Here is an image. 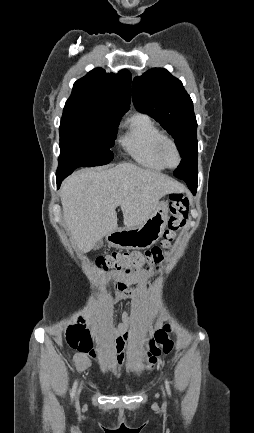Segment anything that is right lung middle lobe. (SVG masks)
<instances>
[{
  "label": "right lung middle lobe",
  "mask_w": 254,
  "mask_h": 433,
  "mask_svg": "<svg viewBox=\"0 0 254 433\" xmlns=\"http://www.w3.org/2000/svg\"><path fill=\"white\" fill-rule=\"evenodd\" d=\"M119 120L109 112L93 107H65L59 128V164L98 166L113 159Z\"/></svg>",
  "instance_id": "dd1d6c3e"
}]
</instances>
